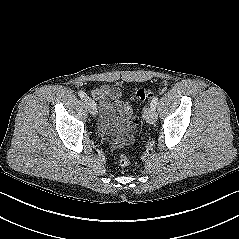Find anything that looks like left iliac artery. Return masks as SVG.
<instances>
[{
	"label": "left iliac artery",
	"mask_w": 239,
	"mask_h": 239,
	"mask_svg": "<svg viewBox=\"0 0 239 239\" xmlns=\"http://www.w3.org/2000/svg\"><path fill=\"white\" fill-rule=\"evenodd\" d=\"M157 104H158V97L154 96V98L151 101V106L156 108Z\"/></svg>",
	"instance_id": "left-iliac-artery-1"
}]
</instances>
